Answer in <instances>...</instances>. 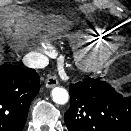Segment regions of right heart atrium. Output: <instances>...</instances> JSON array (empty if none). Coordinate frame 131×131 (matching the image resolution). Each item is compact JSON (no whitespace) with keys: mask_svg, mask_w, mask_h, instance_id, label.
<instances>
[{"mask_svg":"<svg viewBox=\"0 0 131 131\" xmlns=\"http://www.w3.org/2000/svg\"><path fill=\"white\" fill-rule=\"evenodd\" d=\"M40 51L47 54L52 50V47L50 44L44 43L40 45Z\"/></svg>","mask_w":131,"mask_h":131,"instance_id":"obj_1","label":"right heart atrium"}]
</instances>
